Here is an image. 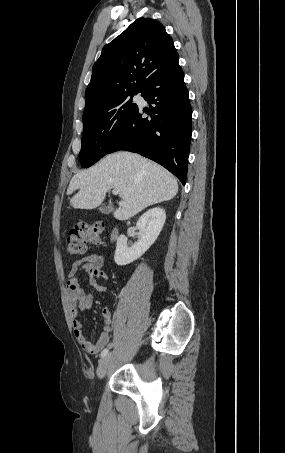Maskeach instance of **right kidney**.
I'll return each instance as SVG.
<instances>
[{
  "label": "right kidney",
  "instance_id": "ca27d5eb",
  "mask_svg": "<svg viewBox=\"0 0 285 453\" xmlns=\"http://www.w3.org/2000/svg\"><path fill=\"white\" fill-rule=\"evenodd\" d=\"M166 220L163 208L155 207L146 211L137 221L140 231V240L131 248L127 247V237L120 235L116 243L114 260L117 265L123 266L140 258L157 240Z\"/></svg>",
  "mask_w": 285,
  "mask_h": 453
}]
</instances>
